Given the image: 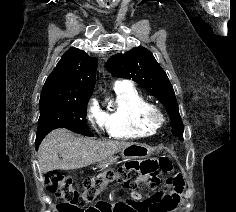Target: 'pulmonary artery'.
I'll return each mask as SVG.
<instances>
[{
  "label": "pulmonary artery",
  "instance_id": "pulmonary-artery-1",
  "mask_svg": "<svg viewBox=\"0 0 236 212\" xmlns=\"http://www.w3.org/2000/svg\"><path fill=\"white\" fill-rule=\"evenodd\" d=\"M123 83V81H117L115 84H121Z\"/></svg>",
  "mask_w": 236,
  "mask_h": 212
}]
</instances>
